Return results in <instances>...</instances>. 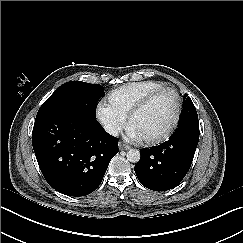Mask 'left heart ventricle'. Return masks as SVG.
I'll return each instance as SVG.
<instances>
[{
  "mask_svg": "<svg viewBox=\"0 0 243 243\" xmlns=\"http://www.w3.org/2000/svg\"><path fill=\"white\" fill-rule=\"evenodd\" d=\"M175 104L176 99L172 93L155 98L139 114L135 127L146 136L158 135L170 122Z\"/></svg>",
  "mask_w": 243,
  "mask_h": 243,
  "instance_id": "1",
  "label": "left heart ventricle"
}]
</instances>
